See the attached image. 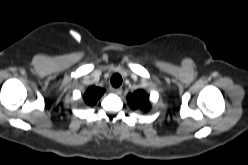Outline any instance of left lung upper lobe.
I'll use <instances>...</instances> for the list:
<instances>
[{
    "instance_id": "5c2ea615",
    "label": "left lung upper lobe",
    "mask_w": 248,
    "mask_h": 165,
    "mask_svg": "<svg viewBox=\"0 0 248 165\" xmlns=\"http://www.w3.org/2000/svg\"><path fill=\"white\" fill-rule=\"evenodd\" d=\"M127 101L132 109H143L146 112L150 108L149 96L143 90L129 94Z\"/></svg>"
}]
</instances>
